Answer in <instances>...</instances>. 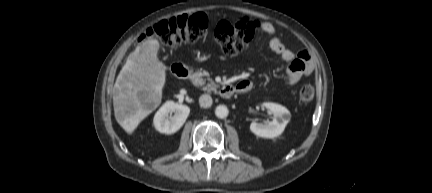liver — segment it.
I'll use <instances>...</instances> for the list:
<instances>
[{
	"label": "liver",
	"mask_w": 432,
	"mask_h": 193,
	"mask_svg": "<svg viewBox=\"0 0 432 193\" xmlns=\"http://www.w3.org/2000/svg\"><path fill=\"white\" fill-rule=\"evenodd\" d=\"M159 42L148 39L136 47L117 76L113 90L115 118L132 133L161 103L166 66L158 59Z\"/></svg>",
	"instance_id": "obj_1"
}]
</instances>
